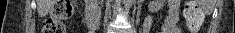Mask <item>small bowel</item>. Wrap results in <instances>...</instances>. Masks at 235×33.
<instances>
[{
    "label": "small bowel",
    "mask_w": 235,
    "mask_h": 33,
    "mask_svg": "<svg viewBox=\"0 0 235 33\" xmlns=\"http://www.w3.org/2000/svg\"><path fill=\"white\" fill-rule=\"evenodd\" d=\"M179 20V1L170 0L168 2V14L163 21L158 33H181L178 26ZM152 25V18L147 17L144 21L143 31L148 33Z\"/></svg>",
    "instance_id": "c3829d8e"
}]
</instances>
